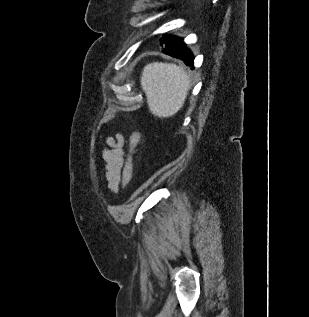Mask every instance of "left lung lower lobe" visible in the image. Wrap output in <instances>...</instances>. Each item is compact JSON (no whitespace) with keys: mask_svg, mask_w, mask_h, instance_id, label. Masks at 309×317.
<instances>
[{"mask_svg":"<svg viewBox=\"0 0 309 317\" xmlns=\"http://www.w3.org/2000/svg\"><path fill=\"white\" fill-rule=\"evenodd\" d=\"M165 54L179 58L186 65L194 67V56L189 48H187L183 38L177 37L171 42L164 45L162 50Z\"/></svg>","mask_w":309,"mask_h":317,"instance_id":"left-lung-lower-lobe-1","label":"left lung lower lobe"}]
</instances>
